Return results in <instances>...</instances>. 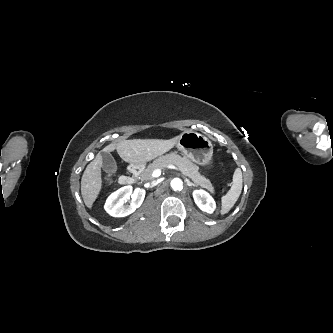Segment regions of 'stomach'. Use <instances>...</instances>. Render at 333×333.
<instances>
[{"instance_id": "obj_1", "label": "stomach", "mask_w": 333, "mask_h": 333, "mask_svg": "<svg viewBox=\"0 0 333 333\" xmlns=\"http://www.w3.org/2000/svg\"><path fill=\"white\" fill-rule=\"evenodd\" d=\"M177 147L182 154L199 166H212L213 145L203 134L184 132L179 135Z\"/></svg>"}]
</instances>
